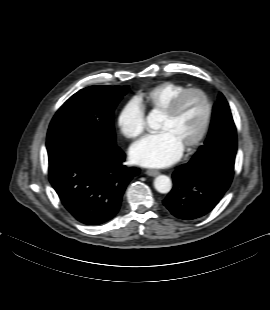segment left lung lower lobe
I'll use <instances>...</instances> for the list:
<instances>
[{"instance_id":"1","label":"left lung lower lobe","mask_w":270,"mask_h":310,"mask_svg":"<svg viewBox=\"0 0 270 310\" xmlns=\"http://www.w3.org/2000/svg\"><path fill=\"white\" fill-rule=\"evenodd\" d=\"M233 175L232 166L191 159L174 171L173 188L163 203L179 219H198L223 198Z\"/></svg>"}]
</instances>
